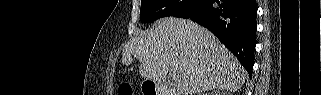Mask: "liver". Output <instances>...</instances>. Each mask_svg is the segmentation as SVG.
I'll return each mask as SVG.
<instances>
[{"instance_id":"obj_1","label":"liver","mask_w":321,"mask_h":95,"mask_svg":"<svg viewBox=\"0 0 321 95\" xmlns=\"http://www.w3.org/2000/svg\"><path fill=\"white\" fill-rule=\"evenodd\" d=\"M139 60V74L161 84L175 76L177 95L218 89L239 90L246 71L236 57L207 29L178 18H163L153 30L132 38L123 48L122 63Z\"/></svg>"}]
</instances>
